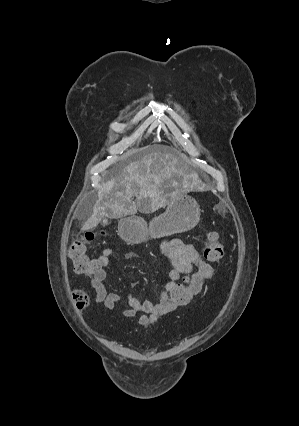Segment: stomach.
I'll use <instances>...</instances> for the list:
<instances>
[{
    "instance_id": "stomach-1",
    "label": "stomach",
    "mask_w": 299,
    "mask_h": 426,
    "mask_svg": "<svg viewBox=\"0 0 299 426\" xmlns=\"http://www.w3.org/2000/svg\"><path fill=\"white\" fill-rule=\"evenodd\" d=\"M200 220V208L196 200L186 194L170 199L164 213L154 217L149 224L140 217H127L120 222L122 236L131 243L149 238H161L194 228Z\"/></svg>"
}]
</instances>
